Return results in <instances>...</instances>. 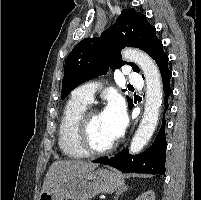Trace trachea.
<instances>
[{
    "label": "trachea",
    "instance_id": "trachea-1",
    "mask_svg": "<svg viewBox=\"0 0 201 200\" xmlns=\"http://www.w3.org/2000/svg\"><path fill=\"white\" fill-rule=\"evenodd\" d=\"M129 87H130V88H133V86H132V85H129Z\"/></svg>",
    "mask_w": 201,
    "mask_h": 200
}]
</instances>
